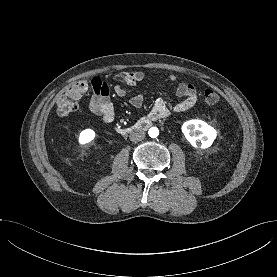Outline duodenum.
Wrapping results in <instances>:
<instances>
[{
	"label": "duodenum",
	"instance_id": "410a0bca",
	"mask_svg": "<svg viewBox=\"0 0 277 277\" xmlns=\"http://www.w3.org/2000/svg\"><path fill=\"white\" fill-rule=\"evenodd\" d=\"M152 125V119L151 118H144L136 122L134 125L127 127V128H118V132L120 133H129L134 130H140L144 131L147 130Z\"/></svg>",
	"mask_w": 277,
	"mask_h": 277
}]
</instances>
